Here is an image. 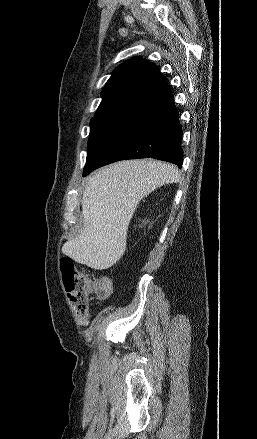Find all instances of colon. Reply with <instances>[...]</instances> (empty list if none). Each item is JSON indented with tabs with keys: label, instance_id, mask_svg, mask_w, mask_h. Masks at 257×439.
<instances>
[{
	"label": "colon",
	"instance_id": "colon-1",
	"mask_svg": "<svg viewBox=\"0 0 257 439\" xmlns=\"http://www.w3.org/2000/svg\"><path fill=\"white\" fill-rule=\"evenodd\" d=\"M60 268L70 304L79 317L86 318L89 315V299L92 296L105 298L111 293L112 283L108 277L91 279L79 272L68 258L61 260Z\"/></svg>",
	"mask_w": 257,
	"mask_h": 439
}]
</instances>
